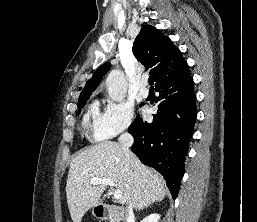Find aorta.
Returning a JSON list of instances; mask_svg holds the SVG:
<instances>
[{"instance_id": "obj_1", "label": "aorta", "mask_w": 257, "mask_h": 222, "mask_svg": "<svg viewBox=\"0 0 257 222\" xmlns=\"http://www.w3.org/2000/svg\"><path fill=\"white\" fill-rule=\"evenodd\" d=\"M107 90L110 98L114 101H122L127 92V81L123 71L113 70L106 79Z\"/></svg>"}]
</instances>
